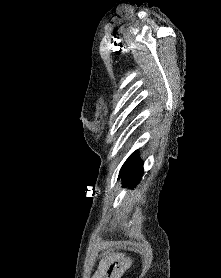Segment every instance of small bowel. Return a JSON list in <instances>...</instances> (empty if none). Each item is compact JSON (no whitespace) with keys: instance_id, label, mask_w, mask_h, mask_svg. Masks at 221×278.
<instances>
[{"instance_id":"obj_1","label":"small bowel","mask_w":221,"mask_h":278,"mask_svg":"<svg viewBox=\"0 0 221 278\" xmlns=\"http://www.w3.org/2000/svg\"><path fill=\"white\" fill-rule=\"evenodd\" d=\"M129 266V261L118 253L109 254L100 263L94 278H120L121 273Z\"/></svg>"}]
</instances>
